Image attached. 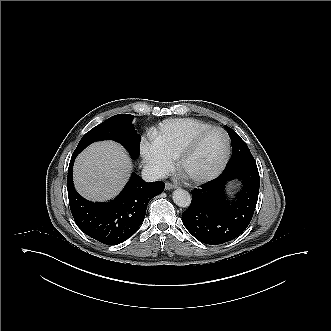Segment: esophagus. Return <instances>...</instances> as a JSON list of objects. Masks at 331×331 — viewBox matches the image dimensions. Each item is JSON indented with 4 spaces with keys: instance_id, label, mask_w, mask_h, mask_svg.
Here are the masks:
<instances>
[{
    "instance_id": "1",
    "label": "esophagus",
    "mask_w": 331,
    "mask_h": 331,
    "mask_svg": "<svg viewBox=\"0 0 331 331\" xmlns=\"http://www.w3.org/2000/svg\"><path fill=\"white\" fill-rule=\"evenodd\" d=\"M175 188H177V185L172 184L170 182H167L166 185H165L166 190H171V189H175Z\"/></svg>"
}]
</instances>
